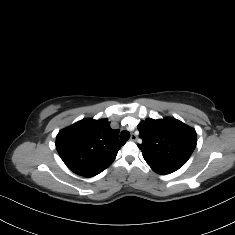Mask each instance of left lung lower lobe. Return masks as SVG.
I'll return each mask as SVG.
<instances>
[{
	"label": "left lung lower lobe",
	"mask_w": 235,
	"mask_h": 235,
	"mask_svg": "<svg viewBox=\"0 0 235 235\" xmlns=\"http://www.w3.org/2000/svg\"><path fill=\"white\" fill-rule=\"evenodd\" d=\"M146 162L149 164L152 170L158 174H170L180 168L179 166L176 165L164 164L155 161H146Z\"/></svg>",
	"instance_id": "left-lung-lower-lobe-1"
}]
</instances>
